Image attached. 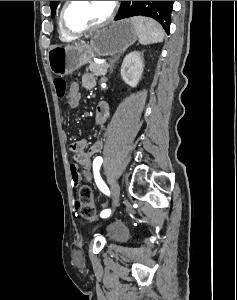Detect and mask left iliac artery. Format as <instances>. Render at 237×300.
<instances>
[{
    "label": "left iliac artery",
    "instance_id": "left-iliac-artery-1",
    "mask_svg": "<svg viewBox=\"0 0 237 300\" xmlns=\"http://www.w3.org/2000/svg\"><path fill=\"white\" fill-rule=\"evenodd\" d=\"M103 162L102 157L98 156L94 159L93 161V171H94V178H95V182L98 186V188L106 195H110L109 189L106 186V184L104 183V181L102 180L100 174H99V169L101 167V164ZM111 214V210L110 209H106L103 210L100 213V216L102 218H107L109 215Z\"/></svg>",
    "mask_w": 237,
    "mask_h": 300
}]
</instances>
